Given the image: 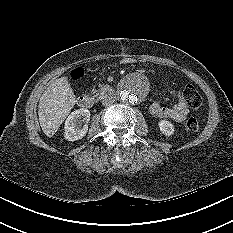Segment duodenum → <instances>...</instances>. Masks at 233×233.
Masks as SVG:
<instances>
[{"label":"duodenum","instance_id":"410a0bca","mask_svg":"<svg viewBox=\"0 0 233 233\" xmlns=\"http://www.w3.org/2000/svg\"><path fill=\"white\" fill-rule=\"evenodd\" d=\"M111 92L107 87L101 86L95 88L89 95H81L77 99V104L79 107L84 109H89L93 107L94 104H98L101 101L109 98Z\"/></svg>","mask_w":233,"mask_h":233}]
</instances>
